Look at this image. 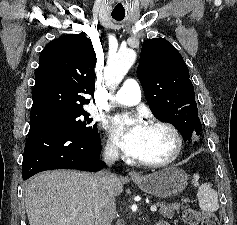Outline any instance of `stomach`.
<instances>
[{"label":"stomach","instance_id":"stomach-1","mask_svg":"<svg viewBox=\"0 0 237 225\" xmlns=\"http://www.w3.org/2000/svg\"><path fill=\"white\" fill-rule=\"evenodd\" d=\"M137 186L147 194L169 198L182 192L188 183V176L175 166L167 167L152 174L134 178Z\"/></svg>","mask_w":237,"mask_h":225}]
</instances>
